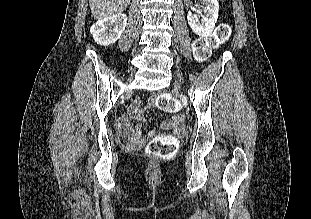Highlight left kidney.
<instances>
[{"label": "left kidney", "instance_id": "left-kidney-1", "mask_svg": "<svg viewBox=\"0 0 311 219\" xmlns=\"http://www.w3.org/2000/svg\"><path fill=\"white\" fill-rule=\"evenodd\" d=\"M203 4V18L201 23L192 12L187 13L188 24L192 31L202 37L209 36L218 19L219 3L217 0H200Z\"/></svg>", "mask_w": 311, "mask_h": 219}]
</instances>
